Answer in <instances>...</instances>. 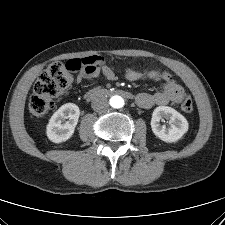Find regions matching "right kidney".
<instances>
[{
    "label": "right kidney",
    "mask_w": 225,
    "mask_h": 225,
    "mask_svg": "<svg viewBox=\"0 0 225 225\" xmlns=\"http://www.w3.org/2000/svg\"><path fill=\"white\" fill-rule=\"evenodd\" d=\"M80 116V109L76 104L62 105L50 118L46 134L50 141L62 143L70 139L74 133Z\"/></svg>",
    "instance_id": "obj_1"
}]
</instances>
